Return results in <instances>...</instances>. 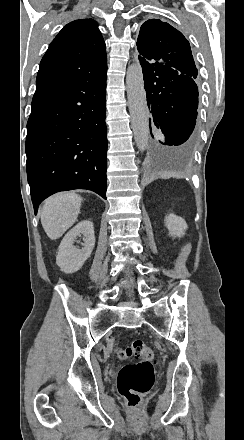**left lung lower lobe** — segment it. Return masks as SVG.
Segmentation results:
<instances>
[{
	"mask_svg": "<svg viewBox=\"0 0 244 440\" xmlns=\"http://www.w3.org/2000/svg\"><path fill=\"white\" fill-rule=\"evenodd\" d=\"M144 88L151 109V124L160 129L165 142L153 135L148 149L152 155L188 151L194 140L198 108V88L193 77L164 66H143Z\"/></svg>",
	"mask_w": 244,
	"mask_h": 440,
	"instance_id": "left-lung-lower-lobe-1",
	"label": "left lung lower lobe"
}]
</instances>
